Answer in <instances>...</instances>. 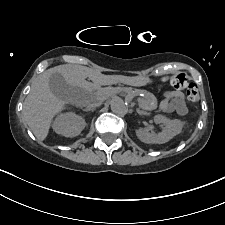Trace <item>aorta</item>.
I'll return each mask as SVG.
<instances>
[{
	"instance_id": "aorta-1",
	"label": "aorta",
	"mask_w": 225,
	"mask_h": 225,
	"mask_svg": "<svg viewBox=\"0 0 225 225\" xmlns=\"http://www.w3.org/2000/svg\"><path fill=\"white\" fill-rule=\"evenodd\" d=\"M113 113L117 115H125L127 113V105L122 98L115 97L110 102Z\"/></svg>"
}]
</instances>
